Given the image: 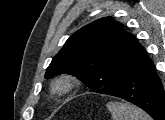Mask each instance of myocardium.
<instances>
[{"instance_id":"f54148a6","label":"myocardium","mask_w":165,"mask_h":120,"mask_svg":"<svg viewBox=\"0 0 165 120\" xmlns=\"http://www.w3.org/2000/svg\"><path fill=\"white\" fill-rule=\"evenodd\" d=\"M76 85L75 79L70 75H63L56 78L52 84V90L58 95L68 94Z\"/></svg>"}]
</instances>
